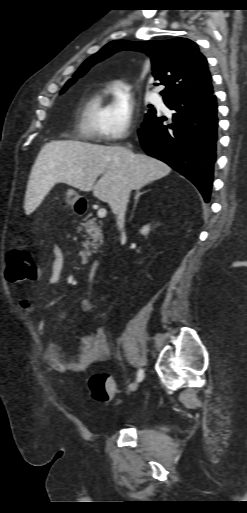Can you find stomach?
Instances as JSON below:
<instances>
[{"instance_id": "stomach-1", "label": "stomach", "mask_w": 247, "mask_h": 513, "mask_svg": "<svg viewBox=\"0 0 247 513\" xmlns=\"http://www.w3.org/2000/svg\"><path fill=\"white\" fill-rule=\"evenodd\" d=\"M81 199H82L81 196H79V194L75 190L69 189L67 191L66 201L68 204H70L75 209L76 212H77L76 205Z\"/></svg>"}]
</instances>
